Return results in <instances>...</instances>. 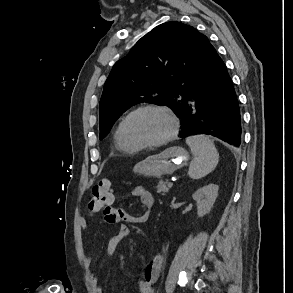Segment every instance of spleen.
Masks as SVG:
<instances>
[{"instance_id":"obj_1","label":"spleen","mask_w":293,"mask_h":293,"mask_svg":"<svg viewBox=\"0 0 293 293\" xmlns=\"http://www.w3.org/2000/svg\"><path fill=\"white\" fill-rule=\"evenodd\" d=\"M186 143L194 155L188 175L192 179L205 177L214 170L219 161V154L214 142L205 135H195L188 137Z\"/></svg>"}]
</instances>
